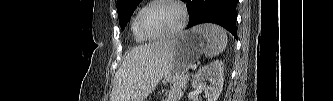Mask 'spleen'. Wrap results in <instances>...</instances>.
<instances>
[{
	"instance_id": "spleen-1",
	"label": "spleen",
	"mask_w": 333,
	"mask_h": 101,
	"mask_svg": "<svg viewBox=\"0 0 333 101\" xmlns=\"http://www.w3.org/2000/svg\"><path fill=\"white\" fill-rule=\"evenodd\" d=\"M194 31L200 33L207 41L204 50L207 58L219 55L227 46V34L225 30L215 24L198 25L193 28Z\"/></svg>"
}]
</instances>
